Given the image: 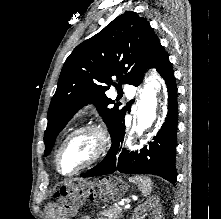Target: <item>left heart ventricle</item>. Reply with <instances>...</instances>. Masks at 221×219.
<instances>
[{"mask_svg": "<svg viewBox=\"0 0 221 219\" xmlns=\"http://www.w3.org/2000/svg\"><path fill=\"white\" fill-rule=\"evenodd\" d=\"M97 146L92 133H84L73 138L62 150L59 168L63 173H72L85 165L93 156Z\"/></svg>", "mask_w": 221, "mask_h": 219, "instance_id": "1", "label": "left heart ventricle"}]
</instances>
